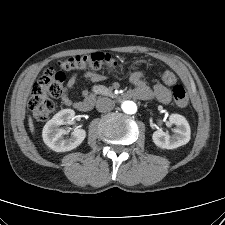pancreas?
I'll list each match as a JSON object with an SVG mask.
<instances>
[{"instance_id": "pancreas-1", "label": "pancreas", "mask_w": 225, "mask_h": 225, "mask_svg": "<svg viewBox=\"0 0 225 225\" xmlns=\"http://www.w3.org/2000/svg\"><path fill=\"white\" fill-rule=\"evenodd\" d=\"M92 91L95 94H103V95H110L111 94V90L109 88H106L103 85L93 86Z\"/></svg>"}]
</instances>
